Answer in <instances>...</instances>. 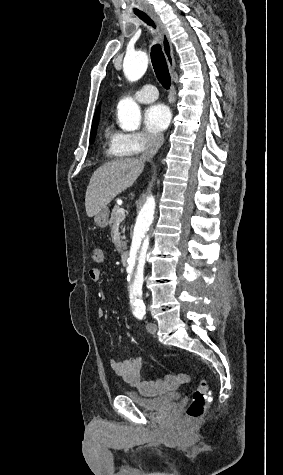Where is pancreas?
I'll return each mask as SVG.
<instances>
[{
    "label": "pancreas",
    "instance_id": "obj_1",
    "mask_svg": "<svg viewBox=\"0 0 283 475\" xmlns=\"http://www.w3.org/2000/svg\"><path fill=\"white\" fill-rule=\"evenodd\" d=\"M125 214H121V208L119 206H114L111 214V220L109 224H115V222H119V220H124ZM124 234V232H122ZM121 245L126 247V241H121Z\"/></svg>",
    "mask_w": 283,
    "mask_h": 475
}]
</instances>
